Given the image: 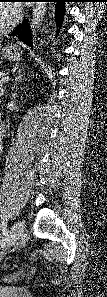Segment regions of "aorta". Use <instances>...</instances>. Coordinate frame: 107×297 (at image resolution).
Listing matches in <instances>:
<instances>
[{"mask_svg": "<svg viewBox=\"0 0 107 297\" xmlns=\"http://www.w3.org/2000/svg\"><path fill=\"white\" fill-rule=\"evenodd\" d=\"M47 3L46 2H37L32 9V17L30 21V30L35 35L40 29L45 14L47 12Z\"/></svg>", "mask_w": 107, "mask_h": 297, "instance_id": "1", "label": "aorta"}]
</instances>
